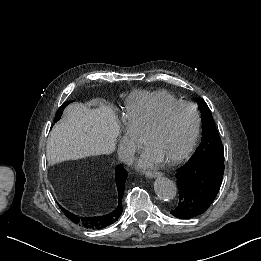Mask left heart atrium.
I'll use <instances>...</instances> for the list:
<instances>
[{
    "mask_svg": "<svg viewBox=\"0 0 261 261\" xmlns=\"http://www.w3.org/2000/svg\"><path fill=\"white\" fill-rule=\"evenodd\" d=\"M137 144L142 148V155L138 160V165L140 167H147L154 164L159 158L158 156L140 139Z\"/></svg>",
    "mask_w": 261,
    "mask_h": 261,
    "instance_id": "1",
    "label": "left heart atrium"
}]
</instances>
